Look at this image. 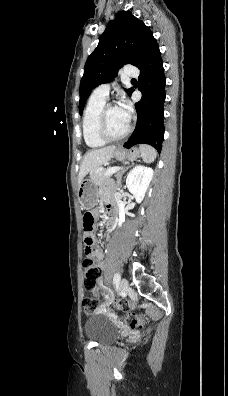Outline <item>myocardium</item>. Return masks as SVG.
<instances>
[{
  "label": "myocardium",
  "mask_w": 228,
  "mask_h": 396,
  "mask_svg": "<svg viewBox=\"0 0 228 396\" xmlns=\"http://www.w3.org/2000/svg\"><path fill=\"white\" fill-rule=\"evenodd\" d=\"M112 107H116L115 104L113 103H106L99 115H98V121H97V131H98V135L99 137L104 140L105 142H114V141H119L124 139L131 131V126L128 123L126 129L124 130L123 133H121L120 135H111L108 132L107 129V124H106V117H107V112L110 108Z\"/></svg>",
  "instance_id": "f54148a6"
}]
</instances>
